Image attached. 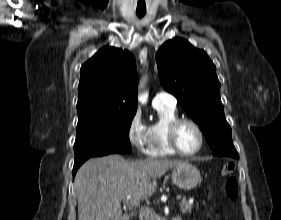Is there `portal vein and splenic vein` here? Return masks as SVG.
<instances>
[{
    "label": "portal vein and splenic vein",
    "mask_w": 281,
    "mask_h": 220,
    "mask_svg": "<svg viewBox=\"0 0 281 220\" xmlns=\"http://www.w3.org/2000/svg\"><path fill=\"white\" fill-rule=\"evenodd\" d=\"M180 199H181V196L178 195L177 200H180ZM126 200L129 201L132 206H137L140 203L139 200H132V197L130 195L126 196Z\"/></svg>",
    "instance_id": "1"
}]
</instances>
